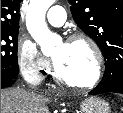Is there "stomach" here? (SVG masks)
<instances>
[{
	"instance_id": "1",
	"label": "stomach",
	"mask_w": 123,
	"mask_h": 113,
	"mask_svg": "<svg viewBox=\"0 0 123 113\" xmlns=\"http://www.w3.org/2000/svg\"><path fill=\"white\" fill-rule=\"evenodd\" d=\"M81 113H110L109 104L98 97L84 99L80 103Z\"/></svg>"
}]
</instances>
